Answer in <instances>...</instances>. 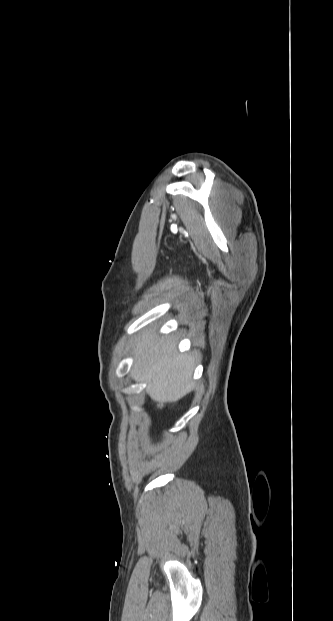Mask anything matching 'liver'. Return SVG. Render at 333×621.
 <instances>
[{"instance_id": "obj_1", "label": "liver", "mask_w": 333, "mask_h": 621, "mask_svg": "<svg viewBox=\"0 0 333 621\" xmlns=\"http://www.w3.org/2000/svg\"><path fill=\"white\" fill-rule=\"evenodd\" d=\"M133 353L132 378L144 384L154 400L174 402L192 389L196 356L178 354L172 336L161 337L155 330H146L135 340Z\"/></svg>"}]
</instances>
